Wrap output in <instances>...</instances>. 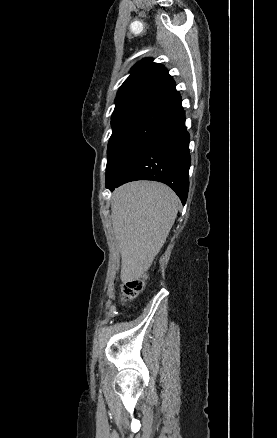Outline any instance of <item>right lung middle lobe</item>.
<instances>
[{
  "instance_id": "right-lung-middle-lobe-1",
  "label": "right lung middle lobe",
  "mask_w": 277,
  "mask_h": 438,
  "mask_svg": "<svg viewBox=\"0 0 277 438\" xmlns=\"http://www.w3.org/2000/svg\"><path fill=\"white\" fill-rule=\"evenodd\" d=\"M168 111L112 117L106 183L116 181L158 128Z\"/></svg>"
}]
</instances>
